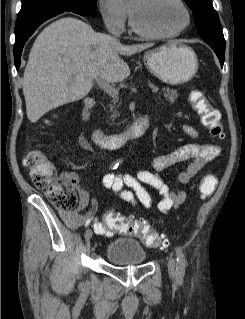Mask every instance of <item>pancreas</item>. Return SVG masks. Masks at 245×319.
<instances>
[{
  "label": "pancreas",
  "instance_id": "1",
  "mask_svg": "<svg viewBox=\"0 0 245 319\" xmlns=\"http://www.w3.org/2000/svg\"><path fill=\"white\" fill-rule=\"evenodd\" d=\"M162 94L165 97L166 100H169L170 102H174L178 98L177 91L170 88H163ZM115 103V101H113ZM109 107L112 109L114 105H109ZM117 116L116 111L113 112L112 118H115Z\"/></svg>",
  "mask_w": 245,
  "mask_h": 319
}]
</instances>
